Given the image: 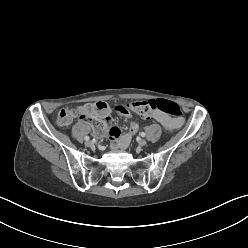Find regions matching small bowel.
<instances>
[{"mask_svg": "<svg viewBox=\"0 0 248 248\" xmlns=\"http://www.w3.org/2000/svg\"><path fill=\"white\" fill-rule=\"evenodd\" d=\"M153 117L168 131L175 130L183 125V118H175L160 111L154 112ZM107 137L111 140V148L119 149H125L132 139L128 131L122 134L118 127H112L108 129Z\"/></svg>", "mask_w": 248, "mask_h": 248, "instance_id": "c3829d8e", "label": "small bowel"}]
</instances>
